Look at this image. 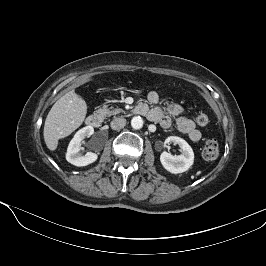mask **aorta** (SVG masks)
I'll return each mask as SVG.
<instances>
[{
  "mask_svg": "<svg viewBox=\"0 0 266 266\" xmlns=\"http://www.w3.org/2000/svg\"><path fill=\"white\" fill-rule=\"evenodd\" d=\"M131 126L134 129H141L143 127V119L140 116H135L131 120Z\"/></svg>",
  "mask_w": 266,
  "mask_h": 266,
  "instance_id": "obj_1",
  "label": "aorta"
}]
</instances>
